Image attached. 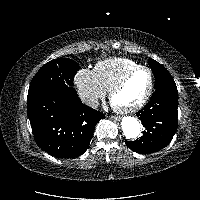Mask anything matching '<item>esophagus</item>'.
I'll return each instance as SVG.
<instances>
[{
    "mask_svg": "<svg viewBox=\"0 0 200 200\" xmlns=\"http://www.w3.org/2000/svg\"><path fill=\"white\" fill-rule=\"evenodd\" d=\"M112 120L119 121L121 118L119 116H111Z\"/></svg>",
    "mask_w": 200,
    "mask_h": 200,
    "instance_id": "34e87169",
    "label": "esophagus"
}]
</instances>
